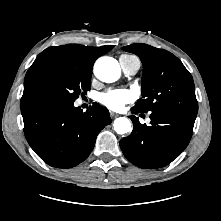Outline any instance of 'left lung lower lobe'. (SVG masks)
<instances>
[{
	"instance_id": "1",
	"label": "left lung lower lobe",
	"mask_w": 221,
	"mask_h": 221,
	"mask_svg": "<svg viewBox=\"0 0 221 221\" xmlns=\"http://www.w3.org/2000/svg\"><path fill=\"white\" fill-rule=\"evenodd\" d=\"M133 113H139L132 110ZM151 125H142L131 116L133 131L120 141L124 156L140 168L168 165L187 147L196 117L173 111H153Z\"/></svg>"
}]
</instances>
